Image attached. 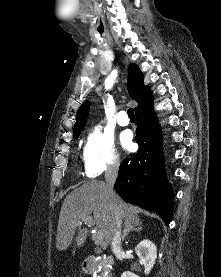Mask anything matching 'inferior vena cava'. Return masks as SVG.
Masks as SVG:
<instances>
[{
    "label": "inferior vena cava",
    "mask_w": 221,
    "mask_h": 277,
    "mask_svg": "<svg viewBox=\"0 0 221 277\" xmlns=\"http://www.w3.org/2000/svg\"><path fill=\"white\" fill-rule=\"evenodd\" d=\"M119 162H113L108 165L107 170L105 171V181L106 188L105 193L109 198V206L111 210V245L112 249H120L121 248V217L116 205L112 202V196L114 194L113 186L118 176Z\"/></svg>",
    "instance_id": "602c4592"
}]
</instances>
